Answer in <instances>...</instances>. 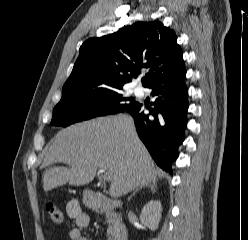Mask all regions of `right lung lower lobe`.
<instances>
[{"label": "right lung lower lobe", "mask_w": 248, "mask_h": 240, "mask_svg": "<svg viewBox=\"0 0 248 240\" xmlns=\"http://www.w3.org/2000/svg\"><path fill=\"white\" fill-rule=\"evenodd\" d=\"M186 69L157 81L147 88L152 90L154 106L149 114L136 102L122 111L135 121L139 138L163 170L172 173V163L178 158V147L185 139L188 112V89L184 83Z\"/></svg>", "instance_id": "obj_1"}]
</instances>
